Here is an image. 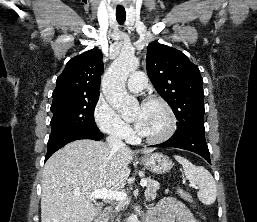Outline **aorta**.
<instances>
[{"instance_id": "obj_1", "label": "aorta", "mask_w": 257, "mask_h": 222, "mask_svg": "<svg viewBox=\"0 0 257 222\" xmlns=\"http://www.w3.org/2000/svg\"><path fill=\"white\" fill-rule=\"evenodd\" d=\"M139 66L132 52L122 51L111 64L102 79V91L108 103L121 115H126L138 107V101L126 90V80ZM126 222H139L132 214Z\"/></svg>"}]
</instances>
